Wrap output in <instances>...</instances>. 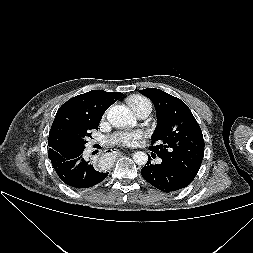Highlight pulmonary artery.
<instances>
[{
  "instance_id": "obj_1",
  "label": "pulmonary artery",
  "mask_w": 253,
  "mask_h": 253,
  "mask_svg": "<svg viewBox=\"0 0 253 253\" xmlns=\"http://www.w3.org/2000/svg\"><path fill=\"white\" fill-rule=\"evenodd\" d=\"M151 110H152V106L146 105L134 110V112L138 118L144 119L150 114ZM158 162L160 163L161 160H158Z\"/></svg>"
}]
</instances>
